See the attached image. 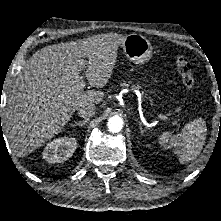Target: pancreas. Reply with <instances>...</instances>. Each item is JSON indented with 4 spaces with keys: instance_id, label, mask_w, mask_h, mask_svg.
Segmentation results:
<instances>
[{
    "instance_id": "cf45deb5",
    "label": "pancreas",
    "mask_w": 221,
    "mask_h": 221,
    "mask_svg": "<svg viewBox=\"0 0 221 221\" xmlns=\"http://www.w3.org/2000/svg\"><path fill=\"white\" fill-rule=\"evenodd\" d=\"M129 85H132V87L135 88V89L140 88L139 84H133L132 81H128V82L123 81V83H120L121 87L129 86Z\"/></svg>"
}]
</instances>
